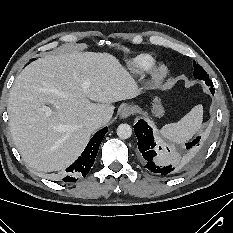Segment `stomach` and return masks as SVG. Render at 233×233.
<instances>
[{
	"label": "stomach",
	"mask_w": 233,
	"mask_h": 233,
	"mask_svg": "<svg viewBox=\"0 0 233 233\" xmlns=\"http://www.w3.org/2000/svg\"><path fill=\"white\" fill-rule=\"evenodd\" d=\"M152 111H153L154 115H156L158 117L162 116L164 113V109H163L162 104H161V99L158 96L154 97Z\"/></svg>",
	"instance_id": "stomach-1"
}]
</instances>
